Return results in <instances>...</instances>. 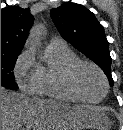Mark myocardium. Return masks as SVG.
<instances>
[{"mask_svg": "<svg viewBox=\"0 0 123 130\" xmlns=\"http://www.w3.org/2000/svg\"><path fill=\"white\" fill-rule=\"evenodd\" d=\"M81 67H90V68L94 69L100 75V77L102 78L105 89H104L103 95L99 99L91 100V99L84 97L80 93L78 88L76 87L75 75H76V72ZM61 82H62L64 89L75 100L85 102V103H91V104L99 103L105 98V96L107 95V93L109 91L108 79H107L105 73L103 72V70L98 65H96L95 63H92V62L86 61V60H82V59H79V58L67 63L66 65H64L62 67V69H61Z\"/></svg>", "mask_w": 123, "mask_h": 130, "instance_id": "f54148a6", "label": "myocardium"}]
</instances>
